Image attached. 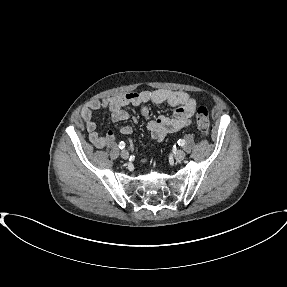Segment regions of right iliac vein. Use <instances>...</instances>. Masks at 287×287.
<instances>
[{
	"label": "right iliac vein",
	"mask_w": 287,
	"mask_h": 287,
	"mask_svg": "<svg viewBox=\"0 0 287 287\" xmlns=\"http://www.w3.org/2000/svg\"><path fill=\"white\" fill-rule=\"evenodd\" d=\"M120 156L123 158V159H128L129 157V152L127 150H122L121 153H120Z\"/></svg>",
	"instance_id": "obj_1"
}]
</instances>
